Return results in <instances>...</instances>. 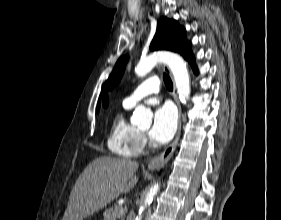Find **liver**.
<instances>
[{
	"label": "liver",
	"mask_w": 281,
	"mask_h": 220,
	"mask_svg": "<svg viewBox=\"0 0 281 220\" xmlns=\"http://www.w3.org/2000/svg\"><path fill=\"white\" fill-rule=\"evenodd\" d=\"M137 169L130 159H94L76 180L62 220H83L128 193L138 182Z\"/></svg>",
	"instance_id": "1"
}]
</instances>
